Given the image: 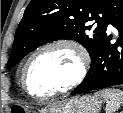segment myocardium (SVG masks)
Wrapping results in <instances>:
<instances>
[{
  "label": "myocardium",
  "instance_id": "obj_1",
  "mask_svg": "<svg viewBox=\"0 0 123 113\" xmlns=\"http://www.w3.org/2000/svg\"><path fill=\"white\" fill-rule=\"evenodd\" d=\"M60 47L67 48L74 53L76 57V61H77L75 75L70 80L65 82L62 86L55 88L54 90L50 91L47 94L31 93L26 86V80H25L27 69L30 63L43 52L50 50V49H54V48H60ZM89 67H90V55H89L87 48L81 42L73 38H67V37L57 38V39L48 41L44 43L43 45L39 46L29 55V57L25 61L22 67V70H21V76H20L21 85L23 89L30 96L34 98H38V99H48L55 95L64 93L76 87L77 85H79L84 80V78L87 76L89 72Z\"/></svg>",
  "mask_w": 123,
  "mask_h": 113
}]
</instances>
